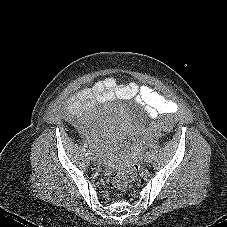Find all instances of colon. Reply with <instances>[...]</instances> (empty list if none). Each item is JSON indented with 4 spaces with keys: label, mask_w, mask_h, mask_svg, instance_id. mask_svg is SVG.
<instances>
[{
    "label": "colon",
    "mask_w": 227,
    "mask_h": 227,
    "mask_svg": "<svg viewBox=\"0 0 227 227\" xmlns=\"http://www.w3.org/2000/svg\"><path fill=\"white\" fill-rule=\"evenodd\" d=\"M175 122V117L171 114L164 115L157 123L160 131H169ZM138 174V164L132 160L125 163L120 169L115 170L111 174L112 186L120 191H127L135 181Z\"/></svg>",
    "instance_id": "5ec220e1"
}]
</instances>
